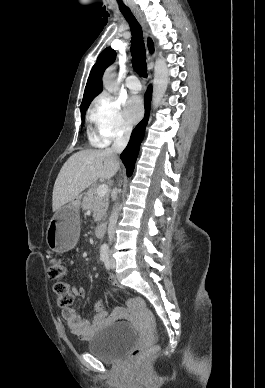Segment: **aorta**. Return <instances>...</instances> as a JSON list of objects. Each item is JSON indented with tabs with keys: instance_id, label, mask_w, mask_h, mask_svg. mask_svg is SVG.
<instances>
[{
	"instance_id": "obj_1",
	"label": "aorta",
	"mask_w": 265,
	"mask_h": 388,
	"mask_svg": "<svg viewBox=\"0 0 265 388\" xmlns=\"http://www.w3.org/2000/svg\"><path fill=\"white\" fill-rule=\"evenodd\" d=\"M169 82L168 66L163 59H157L154 67L153 80V107L157 108L161 103ZM103 85L110 93L117 92L119 86L115 80L114 67L106 70L103 76Z\"/></svg>"
}]
</instances>
